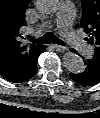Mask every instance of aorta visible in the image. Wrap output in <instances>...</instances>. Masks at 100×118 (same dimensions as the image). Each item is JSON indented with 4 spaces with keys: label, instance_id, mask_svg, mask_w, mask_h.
<instances>
[{
    "label": "aorta",
    "instance_id": "762f6f07",
    "mask_svg": "<svg viewBox=\"0 0 100 118\" xmlns=\"http://www.w3.org/2000/svg\"><path fill=\"white\" fill-rule=\"evenodd\" d=\"M59 0H37V9L42 14H52L59 6ZM64 66L72 73H81L85 69L84 62L78 55L66 52L63 55Z\"/></svg>",
    "mask_w": 100,
    "mask_h": 118
}]
</instances>
